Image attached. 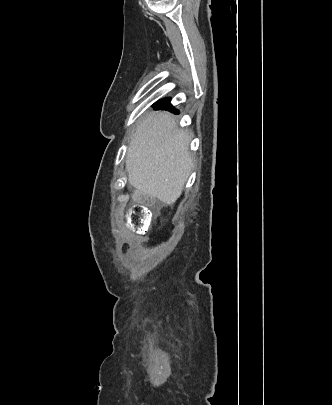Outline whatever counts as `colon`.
Listing matches in <instances>:
<instances>
[{
	"mask_svg": "<svg viewBox=\"0 0 332 405\" xmlns=\"http://www.w3.org/2000/svg\"><path fill=\"white\" fill-rule=\"evenodd\" d=\"M153 204L154 200L150 196L141 194L138 197V203L131 207L130 224L136 231H147L153 223L154 216L149 209Z\"/></svg>",
	"mask_w": 332,
	"mask_h": 405,
	"instance_id": "obj_1",
	"label": "colon"
}]
</instances>
